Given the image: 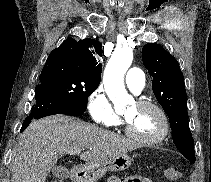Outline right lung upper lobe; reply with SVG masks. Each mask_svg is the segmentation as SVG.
Listing matches in <instances>:
<instances>
[{
  "label": "right lung upper lobe",
  "instance_id": "obj_1",
  "mask_svg": "<svg viewBox=\"0 0 211 182\" xmlns=\"http://www.w3.org/2000/svg\"><path fill=\"white\" fill-rule=\"evenodd\" d=\"M103 49L95 39L75 40L69 37L49 54L44 68L60 66L85 79L100 82L102 64L99 57H102Z\"/></svg>",
  "mask_w": 211,
  "mask_h": 182
}]
</instances>
